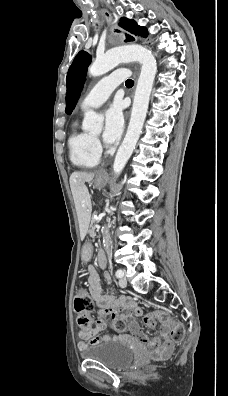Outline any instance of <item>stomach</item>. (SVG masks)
Segmentation results:
<instances>
[{
    "mask_svg": "<svg viewBox=\"0 0 228 396\" xmlns=\"http://www.w3.org/2000/svg\"><path fill=\"white\" fill-rule=\"evenodd\" d=\"M107 178L105 176L96 177L94 183L96 188H102L105 186ZM92 255V244L89 240H87L82 246V259L89 260Z\"/></svg>",
    "mask_w": 228,
    "mask_h": 396,
    "instance_id": "1",
    "label": "stomach"
}]
</instances>
